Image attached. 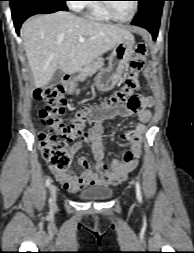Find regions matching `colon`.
<instances>
[{
  "label": "colon",
  "instance_id": "1",
  "mask_svg": "<svg viewBox=\"0 0 194 253\" xmlns=\"http://www.w3.org/2000/svg\"><path fill=\"white\" fill-rule=\"evenodd\" d=\"M149 55V47L145 42L137 44L135 54L130 61V73L125 85L107 99L102 108L126 104L127 97H131L139 88L138 74L143 69ZM35 98L44 104L41 110V131L39 143L42 157L50 167L57 171H66L71 164V156L66 147L67 142L80 139L84 134V126L93 113L88 107H81L74 114L70 123L64 122L62 116L65 112L66 100L63 97L61 86H49L39 89L34 94ZM133 155L127 153L126 161L132 160Z\"/></svg>",
  "mask_w": 194,
  "mask_h": 253
}]
</instances>
